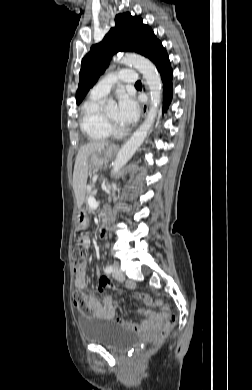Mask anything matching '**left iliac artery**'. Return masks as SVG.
Wrapping results in <instances>:
<instances>
[{"label": "left iliac artery", "instance_id": "1", "mask_svg": "<svg viewBox=\"0 0 252 390\" xmlns=\"http://www.w3.org/2000/svg\"><path fill=\"white\" fill-rule=\"evenodd\" d=\"M112 271H113V266H112V265L107 266V267L105 268V273H107V274L111 273Z\"/></svg>", "mask_w": 252, "mask_h": 390}]
</instances>
